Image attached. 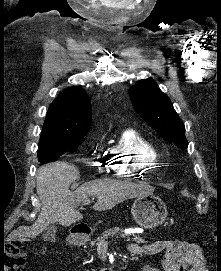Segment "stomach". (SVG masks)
Masks as SVG:
<instances>
[{
    "label": "stomach",
    "mask_w": 221,
    "mask_h": 271,
    "mask_svg": "<svg viewBox=\"0 0 221 271\" xmlns=\"http://www.w3.org/2000/svg\"><path fill=\"white\" fill-rule=\"evenodd\" d=\"M132 215L134 221L145 227L152 229L158 227L166 219V207L156 195H139L132 205Z\"/></svg>",
    "instance_id": "0dacf381"
}]
</instances>
